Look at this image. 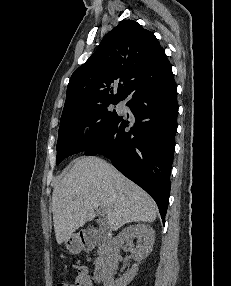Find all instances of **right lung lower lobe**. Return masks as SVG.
I'll list each match as a JSON object with an SVG mask.
<instances>
[{
  "label": "right lung lower lobe",
  "instance_id": "obj_1",
  "mask_svg": "<svg viewBox=\"0 0 231 286\" xmlns=\"http://www.w3.org/2000/svg\"><path fill=\"white\" fill-rule=\"evenodd\" d=\"M125 98L135 125L127 130L129 121L120 117L106 134L84 150L85 155L109 158L114 167L151 195L164 223L178 114L172 70L161 78L135 84Z\"/></svg>",
  "mask_w": 231,
  "mask_h": 286
}]
</instances>
